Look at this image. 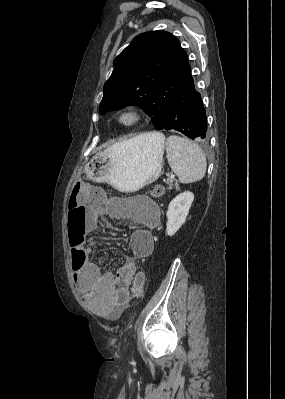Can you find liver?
<instances>
[{
  "label": "liver",
  "instance_id": "6515ba94",
  "mask_svg": "<svg viewBox=\"0 0 285 399\" xmlns=\"http://www.w3.org/2000/svg\"><path fill=\"white\" fill-rule=\"evenodd\" d=\"M150 134H152L153 135V137H154V133H148V134H142V135H140V136H145V135H150Z\"/></svg>",
  "mask_w": 285,
  "mask_h": 399
}]
</instances>
